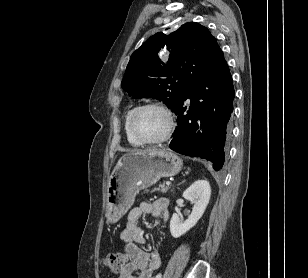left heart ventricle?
<instances>
[{
	"label": "left heart ventricle",
	"mask_w": 308,
	"mask_h": 278,
	"mask_svg": "<svg viewBox=\"0 0 308 278\" xmlns=\"http://www.w3.org/2000/svg\"><path fill=\"white\" fill-rule=\"evenodd\" d=\"M168 121L165 113L156 108L141 111L135 119V127L140 135L148 139L161 137L167 129Z\"/></svg>",
	"instance_id": "b2bd125f"
}]
</instances>
